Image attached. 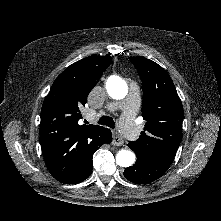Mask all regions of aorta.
<instances>
[{"mask_svg": "<svg viewBox=\"0 0 221 221\" xmlns=\"http://www.w3.org/2000/svg\"><path fill=\"white\" fill-rule=\"evenodd\" d=\"M106 90L113 99H123L128 93L127 83L118 76H110L106 82ZM135 162V154L128 149H121L116 155V163L122 167H129Z\"/></svg>", "mask_w": 221, "mask_h": 221, "instance_id": "1", "label": "aorta"}]
</instances>
